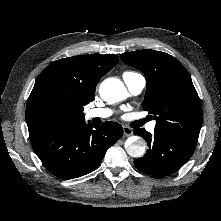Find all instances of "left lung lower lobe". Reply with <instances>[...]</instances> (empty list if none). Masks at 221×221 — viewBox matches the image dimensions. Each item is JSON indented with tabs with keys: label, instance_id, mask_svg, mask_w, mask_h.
Listing matches in <instances>:
<instances>
[{
	"label": "left lung lower lobe",
	"instance_id": "left-lung-lower-lobe-1",
	"mask_svg": "<svg viewBox=\"0 0 221 221\" xmlns=\"http://www.w3.org/2000/svg\"><path fill=\"white\" fill-rule=\"evenodd\" d=\"M135 135L145 139L149 149L134 161L135 167L149 175L166 176L179 170L192 156L196 143L175 138L155 130L154 135L145 129H135Z\"/></svg>",
	"mask_w": 221,
	"mask_h": 221
}]
</instances>
